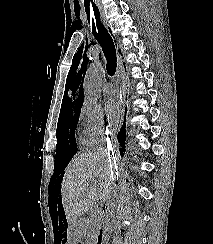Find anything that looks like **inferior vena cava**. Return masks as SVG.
<instances>
[{"mask_svg":"<svg viewBox=\"0 0 213 244\" xmlns=\"http://www.w3.org/2000/svg\"><path fill=\"white\" fill-rule=\"evenodd\" d=\"M106 150V149H105ZM109 156V163H110V170H111V181L112 182V192L109 194L108 199L106 200V204L108 206V211L107 214L109 216H113L114 211L118 205V201H119V194H118V183H116L115 181L119 180V174H118V170H117V166H116V151L115 150H106Z\"/></svg>","mask_w":213,"mask_h":244,"instance_id":"602c4592","label":"inferior vena cava"}]
</instances>
